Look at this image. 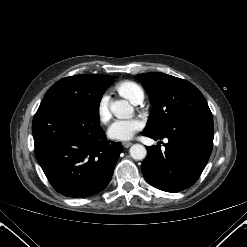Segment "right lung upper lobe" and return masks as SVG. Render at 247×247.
Here are the masks:
<instances>
[{"mask_svg": "<svg viewBox=\"0 0 247 247\" xmlns=\"http://www.w3.org/2000/svg\"><path fill=\"white\" fill-rule=\"evenodd\" d=\"M97 78L100 79L101 81L111 83L114 80V77L108 76V75H97ZM113 83V82H112ZM111 83V84H112Z\"/></svg>", "mask_w": 247, "mask_h": 247, "instance_id": "right-lung-upper-lobe-1", "label": "right lung upper lobe"}]
</instances>
